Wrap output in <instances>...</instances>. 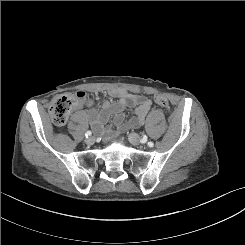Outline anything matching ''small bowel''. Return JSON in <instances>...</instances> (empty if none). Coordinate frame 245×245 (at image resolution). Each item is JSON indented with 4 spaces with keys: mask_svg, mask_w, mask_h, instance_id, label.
<instances>
[{
    "mask_svg": "<svg viewBox=\"0 0 245 245\" xmlns=\"http://www.w3.org/2000/svg\"><path fill=\"white\" fill-rule=\"evenodd\" d=\"M108 95L115 100L103 98L100 111L92 108L88 111V118L96 133L104 134L106 132L105 125L111 115H114L113 123L119 131L136 128L144 123L146 115L152 107L151 99L122 89L109 90ZM85 103L87 106L92 105L91 101H85ZM127 108H133L134 115L127 122H124Z\"/></svg>",
    "mask_w": 245,
    "mask_h": 245,
    "instance_id": "small-bowel-1",
    "label": "small bowel"
}]
</instances>
